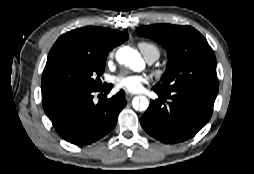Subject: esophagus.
<instances>
[{
    "instance_id": "esophagus-1",
    "label": "esophagus",
    "mask_w": 254,
    "mask_h": 174,
    "mask_svg": "<svg viewBox=\"0 0 254 174\" xmlns=\"http://www.w3.org/2000/svg\"><path fill=\"white\" fill-rule=\"evenodd\" d=\"M134 97V94H131V93H126V99L127 101H130L132 98Z\"/></svg>"
}]
</instances>
